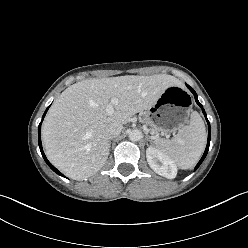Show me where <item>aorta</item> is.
I'll use <instances>...</instances> for the list:
<instances>
[{"label": "aorta", "instance_id": "762f6f07", "mask_svg": "<svg viewBox=\"0 0 248 248\" xmlns=\"http://www.w3.org/2000/svg\"><path fill=\"white\" fill-rule=\"evenodd\" d=\"M128 137L133 142L139 141L142 138V132L138 129H133L129 132Z\"/></svg>", "mask_w": 248, "mask_h": 248}]
</instances>
